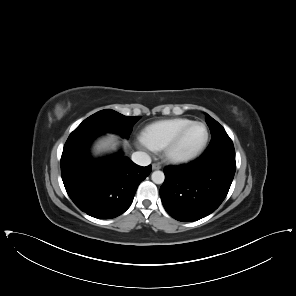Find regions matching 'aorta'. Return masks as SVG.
<instances>
[{"label": "aorta", "instance_id": "762f6f07", "mask_svg": "<svg viewBox=\"0 0 296 296\" xmlns=\"http://www.w3.org/2000/svg\"><path fill=\"white\" fill-rule=\"evenodd\" d=\"M151 179L155 184H162L165 179V175L162 171H154L151 175Z\"/></svg>", "mask_w": 296, "mask_h": 296}]
</instances>
